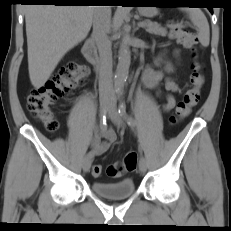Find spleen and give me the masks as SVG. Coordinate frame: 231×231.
I'll return each mask as SVG.
<instances>
[{"label": "spleen", "mask_w": 231, "mask_h": 231, "mask_svg": "<svg viewBox=\"0 0 231 231\" xmlns=\"http://www.w3.org/2000/svg\"><path fill=\"white\" fill-rule=\"evenodd\" d=\"M193 24L197 27L200 43L207 47L210 41V29L204 13L197 8H185Z\"/></svg>", "instance_id": "spleen-1"}]
</instances>
